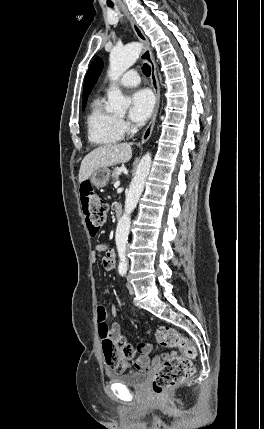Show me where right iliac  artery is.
Instances as JSON below:
<instances>
[{"label": "right iliac artery", "instance_id": "1", "mask_svg": "<svg viewBox=\"0 0 264 429\" xmlns=\"http://www.w3.org/2000/svg\"><path fill=\"white\" fill-rule=\"evenodd\" d=\"M126 271H127L126 268H120L119 269V273H120L121 276H125Z\"/></svg>", "mask_w": 264, "mask_h": 429}]
</instances>
